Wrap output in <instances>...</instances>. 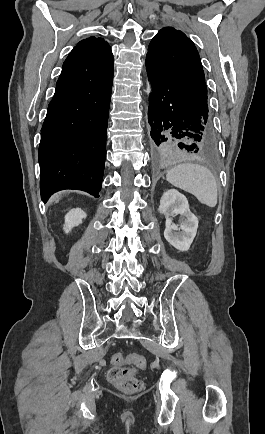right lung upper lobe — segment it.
I'll return each instance as SVG.
<instances>
[{
    "instance_id": "obj_1",
    "label": "right lung upper lobe",
    "mask_w": 265,
    "mask_h": 434,
    "mask_svg": "<svg viewBox=\"0 0 265 434\" xmlns=\"http://www.w3.org/2000/svg\"><path fill=\"white\" fill-rule=\"evenodd\" d=\"M77 46H90L94 48L99 49H110L109 44H107L103 39L101 38H95V37H89L87 39H84L78 43Z\"/></svg>"
}]
</instances>
